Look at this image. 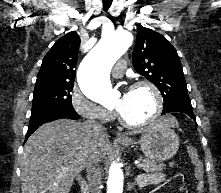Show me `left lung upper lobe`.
Instances as JSON below:
<instances>
[{
    "instance_id": "left-lung-upper-lobe-1",
    "label": "left lung upper lobe",
    "mask_w": 221,
    "mask_h": 193,
    "mask_svg": "<svg viewBox=\"0 0 221 193\" xmlns=\"http://www.w3.org/2000/svg\"><path fill=\"white\" fill-rule=\"evenodd\" d=\"M132 57L135 70L161 92L164 108L190 102L177 51L163 35L139 25Z\"/></svg>"
}]
</instances>
